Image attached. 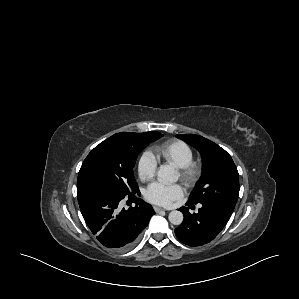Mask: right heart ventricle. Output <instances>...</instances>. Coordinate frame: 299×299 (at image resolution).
<instances>
[{
    "label": "right heart ventricle",
    "instance_id": "1",
    "mask_svg": "<svg viewBox=\"0 0 299 299\" xmlns=\"http://www.w3.org/2000/svg\"><path fill=\"white\" fill-rule=\"evenodd\" d=\"M158 155L167 163L180 168L193 159L192 148L184 141L170 140L157 147Z\"/></svg>",
    "mask_w": 299,
    "mask_h": 299
}]
</instances>
